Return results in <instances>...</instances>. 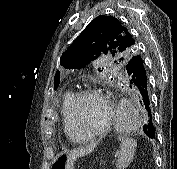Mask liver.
Returning a JSON list of instances; mask_svg holds the SVG:
<instances>
[{"instance_id":"obj_1","label":"liver","mask_w":177,"mask_h":169,"mask_svg":"<svg viewBox=\"0 0 177 169\" xmlns=\"http://www.w3.org/2000/svg\"><path fill=\"white\" fill-rule=\"evenodd\" d=\"M89 151H90V149H79V150H76V151L70 153L67 156V167H68V169H72L73 162L76 158L87 154Z\"/></svg>"}]
</instances>
